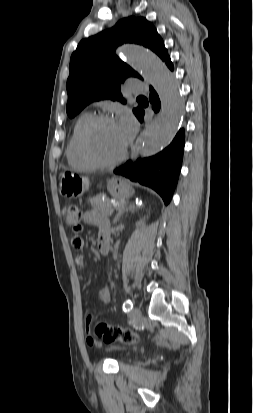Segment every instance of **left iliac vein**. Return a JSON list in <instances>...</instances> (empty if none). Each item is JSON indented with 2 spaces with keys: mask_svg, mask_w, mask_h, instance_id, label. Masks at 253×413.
I'll list each match as a JSON object with an SVG mask.
<instances>
[{
  "mask_svg": "<svg viewBox=\"0 0 253 413\" xmlns=\"http://www.w3.org/2000/svg\"><path fill=\"white\" fill-rule=\"evenodd\" d=\"M130 316L134 320L139 319L141 317V310L138 307H134L130 312Z\"/></svg>",
  "mask_w": 253,
  "mask_h": 413,
  "instance_id": "left-iliac-vein-1",
  "label": "left iliac vein"
}]
</instances>
